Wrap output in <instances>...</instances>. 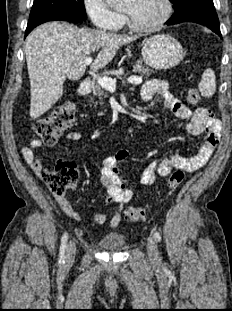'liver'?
<instances>
[{
	"instance_id": "obj_1",
	"label": "liver",
	"mask_w": 232,
	"mask_h": 311,
	"mask_svg": "<svg viewBox=\"0 0 232 311\" xmlns=\"http://www.w3.org/2000/svg\"><path fill=\"white\" fill-rule=\"evenodd\" d=\"M138 36L78 29L59 22L45 23L27 37L25 55L31 86L30 117H40L62 96L67 78L79 80L84 60L102 47L91 70L104 68L125 44Z\"/></svg>"
}]
</instances>
